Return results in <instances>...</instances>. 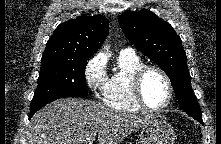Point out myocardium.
<instances>
[{"label":"myocardium","instance_id":"f54148a6","mask_svg":"<svg viewBox=\"0 0 221 144\" xmlns=\"http://www.w3.org/2000/svg\"><path fill=\"white\" fill-rule=\"evenodd\" d=\"M150 71H156L158 72L165 80L167 87H168V96L166 101L159 107H150L144 100L143 92H142V84L143 80L146 76V74ZM131 87H132V95L133 99L136 102V104L145 111L148 112H160L167 108L174 95V87L172 84V81L169 77V75L166 73L164 69H162L159 66L156 65H142L140 68H138L132 75L131 80Z\"/></svg>","mask_w":221,"mask_h":144}]
</instances>
